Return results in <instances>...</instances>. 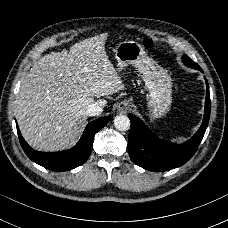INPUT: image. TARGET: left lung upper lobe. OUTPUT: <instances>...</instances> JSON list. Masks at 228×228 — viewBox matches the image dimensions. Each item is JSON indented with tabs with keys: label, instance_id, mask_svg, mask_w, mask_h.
<instances>
[{
	"label": "left lung upper lobe",
	"instance_id": "1",
	"mask_svg": "<svg viewBox=\"0 0 228 228\" xmlns=\"http://www.w3.org/2000/svg\"><path fill=\"white\" fill-rule=\"evenodd\" d=\"M183 63H184L186 66L190 67V68H195V69H197V70H201V68L199 67V65L196 64L195 62H193V61H192L189 57H187V56H184V57H183Z\"/></svg>",
	"mask_w": 228,
	"mask_h": 228
}]
</instances>
